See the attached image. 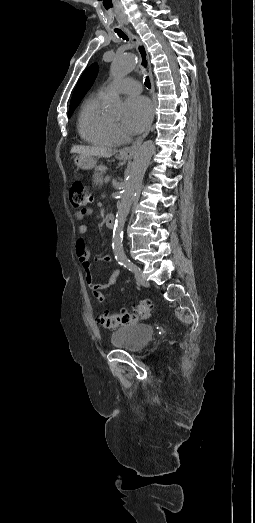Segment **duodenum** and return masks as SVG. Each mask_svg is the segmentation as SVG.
<instances>
[{"instance_id":"duodenum-1","label":"duodenum","mask_w":255,"mask_h":523,"mask_svg":"<svg viewBox=\"0 0 255 523\" xmlns=\"http://www.w3.org/2000/svg\"><path fill=\"white\" fill-rule=\"evenodd\" d=\"M114 222H115V217L113 214H107L106 217H105V225L108 227V228H113L114 226Z\"/></svg>"}]
</instances>
